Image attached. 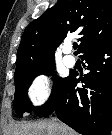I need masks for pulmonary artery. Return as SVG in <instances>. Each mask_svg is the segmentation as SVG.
I'll list each match as a JSON object with an SVG mask.
<instances>
[{"label":"pulmonary artery","mask_w":112,"mask_h":135,"mask_svg":"<svg viewBox=\"0 0 112 135\" xmlns=\"http://www.w3.org/2000/svg\"><path fill=\"white\" fill-rule=\"evenodd\" d=\"M70 51H71V46H65L63 48V54H64L63 62L66 66L73 67L76 63V60L73 56L69 54Z\"/></svg>","instance_id":"1"}]
</instances>
